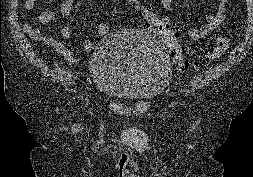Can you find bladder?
<instances>
[{
	"label": "bladder",
	"mask_w": 253,
	"mask_h": 177,
	"mask_svg": "<svg viewBox=\"0 0 253 177\" xmlns=\"http://www.w3.org/2000/svg\"><path fill=\"white\" fill-rule=\"evenodd\" d=\"M171 63L164 47L141 32H115L101 41L90 59L97 89L123 101L151 100L165 89Z\"/></svg>",
	"instance_id": "obj_1"
}]
</instances>
